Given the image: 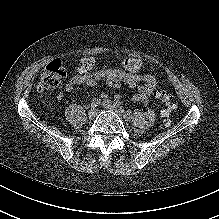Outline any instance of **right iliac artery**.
Returning <instances> with one entry per match:
<instances>
[{"instance_id": "82829eb1", "label": "right iliac artery", "mask_w": 219, "mask_h": 219, "mask_svg": "<svg viewBox=\"0 0 219 219\" xmlns=\"http://www.w3.org/2000/svg\"><path fill=\"white\" fill-rule=\"evenodd\" d=\"M101 103V99L99 98H94L91 103H90V107L91 108H95L97 107L99 104Z\"/></svg>"}]
</instances>
